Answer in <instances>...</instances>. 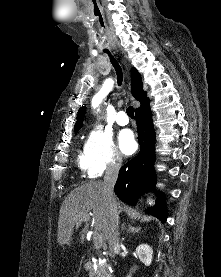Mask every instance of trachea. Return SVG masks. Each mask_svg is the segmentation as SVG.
I'll return each instance as SVG.
<instances>
[{
	"label": "trachea",
	"mask_w": 221,
	"mask_h": 277,
	"mask_svg": "<svg viewBox=\"0 0 221 277\" xmlns=\"http://www.w3.org/2000/svg\"><path fill=\"white\" fill-rule=\"evenodd\" d=\"M105 53H107L110 57V61L113 65V67L115 68V71L117 73V82L118 85L120 86L122 81H123V75H122V70L121 67L119 66L118 62L116 61V59L111 55V53L109 51H105ZM127 115L130 118H134V108L132 106H129L126 110Z\"/></svg>",
	"instance_id": "trachea-1"
}]
</instances>
